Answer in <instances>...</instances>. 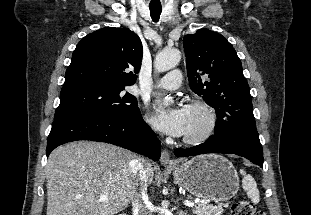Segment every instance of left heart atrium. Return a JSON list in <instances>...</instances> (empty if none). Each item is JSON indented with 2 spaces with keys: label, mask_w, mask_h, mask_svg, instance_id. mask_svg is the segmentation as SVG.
<instances>
[{
  "label": "left heart atrium",
  "mask_w": 311,
  "mask_h": 215,
  "mask_svg": "<svg viewBox=\"0 0 311 215\" xmlns=\"http://www.w3.org/2000/svg\"><path fill=\"white\" fill-rule=\"evenodd\" d=\"M152 119L166 134L183 136L186 132L188 116L185 107H168L157 100L152 106Z\"/></svg>",
  "instance_id": "obj_1"
}]
</instances>
